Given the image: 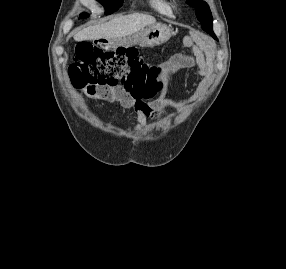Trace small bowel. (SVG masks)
Wrapping results in <instances>:
<instances>
[{"label":"small bowel","mask_w":286,"mask_h":269,"mask_svg":"<svg viewBox=\"0 0 286 269\" xmlns=\"http://www.w3.org/2000/svg\"><path fill=\"white\" fill-rule=\"evenodd\" d=\"M192 46V55L174 56L168 64V72L173 76L177 71L184 68H192V73L196 76L206 78L211 73V53L205 42H187ZM91 95L98 94L106 99L119 102L130 109L136 116V130L145 127L148 119L165 121L170 116L165 112V99L159 97L152 102L140 100L123 88H112L103 91H91Z\"/></svg>","instance_id":"c3829d8e"}]
</instances>
